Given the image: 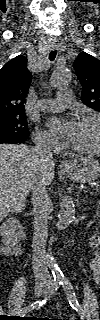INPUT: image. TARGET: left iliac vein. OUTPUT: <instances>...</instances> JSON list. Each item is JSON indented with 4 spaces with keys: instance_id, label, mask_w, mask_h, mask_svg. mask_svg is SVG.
<instances>
[{
    "instance_id": "4c4485c4",
    "label": "left iliac vein",
    "mask_w": 100,
    "mask_h": 320,
    "mask_svg": "<svg viewBox=\"0 0 100 320\" xmlns=\"http://www.w3.org/2000/svg\"><path fill=\"white\" fill-rule=\"evenodd\" d=\"M54 287H55L54 282H49L48 283L47 293L48 294H53Z\"/></svg>"
}]
</instances>
